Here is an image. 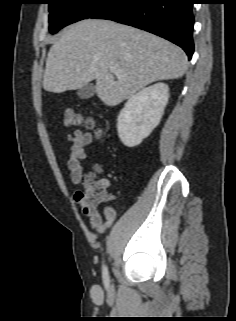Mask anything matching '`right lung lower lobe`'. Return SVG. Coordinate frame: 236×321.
Listing matches in <instances>:
<instances>
[{"label": "right lung lower lobe", "mask_w": 236, "mask_h": 321, "mask_svg": "<svg viewBox=\"0 0 236 321\" xmlns=\"http://www.w3.org/2000/svg\"><path fill=\"white\" fill-rule=\"evenodd\" d=\"M194 0H111L90 16L130 25L161 36L183 50L191 59Z\"/></svg>", "instance_id": "right-lung-lower-lobe-1"}]
</instances>
